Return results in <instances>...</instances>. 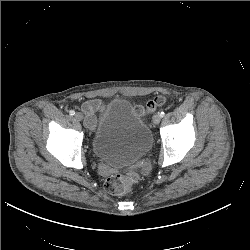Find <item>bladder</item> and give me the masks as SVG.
<instances>
[{
    "mask_svg": "<svg viewBox=\"0 0 250 250\" xmlns=\"http://www.w3.org/2000/svg\"><path fill=\"white\" fill-rule=\"evenodd\" d=\"M151 146L147 122L125 98L110 102L90 141L92 154L113 166L138 162Z\"/></svg>",
    "mask_w": 250,
    "mask_h": 250,
    "instance_id": "bladder-1",
    "label": "bladder"
}]
</instances>
